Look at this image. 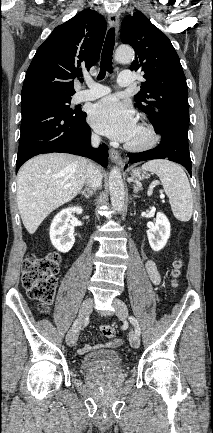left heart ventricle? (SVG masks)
<instances>
[{
    "label": "left heart ventricle",
    "instance_id": "left-heart-ventricle-1",
    "mask_svg": "<svg viewBox=\"0 0 213 433\" xmlns=\"http://www.w3.org/2000/svg\"><path fill=\"white\" fill-rule=\"evenodd\" d=\"M145 140H146L145 132L139 127V125H137L133 134L131 135V137L129 138V140L127 142L131 143V144H139Z\"/></svg>",
    "mask_w": 213,
    "mask_h": 433
}]
</instances>
